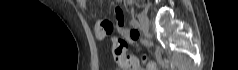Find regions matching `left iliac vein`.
Listing matches in <instances>:
<instances>
[{"label":"left iliac vein","instance_id":"left-iliac-vein-1","mask_svg":"<svg viewBox=\"0 0 238 70\" xmlns=\"http://www.w3.org/2000/svg\"><path fill=\"white\" fill-rule=\"evenodd\" d=\"M139 20V27L140 29L145 32L149 29L150 23L147 15L145 13H140L138 16Z\"/></svg>","mask_w":238,"mask_h":70}]
</instances>
